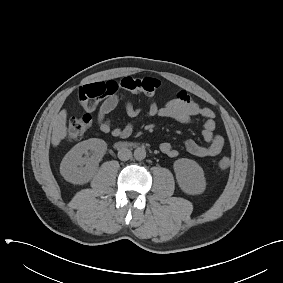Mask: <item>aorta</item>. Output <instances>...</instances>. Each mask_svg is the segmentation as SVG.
<instances>
[{"label": "aorta", "mask_w": 283, "mask_h": 283, "mask_svg": "<svg viewBox=\"0 0 283 283\" xmlns=\"http://www.w3.org/2000/svg\"><path fill=\"white\" fill-rule=\"evenodd\" d=\"M146 150L143 147H138L134 150V158L138 161L145 159Z\"/></svg>", "instance_id": "762f6f07"}]
</instances>
